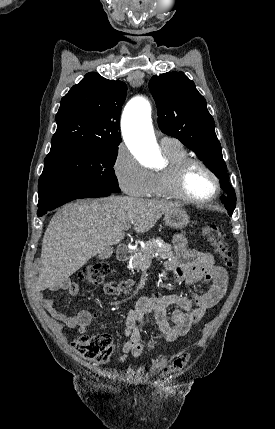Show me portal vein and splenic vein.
Masks as SVG:
<instances>
[{"label":"portal vein and splenic vein","instance_id":"18ae733b","mask_svg":"<svg viewBox=\"0 0 275 429\" xmlns=\"http://www.w3.org/2000/svg\"><path fill=\"white\" fill-rule=\"evenodd\" d=\"M131 228V226H126L125 228H124V230H129Z\"/></svg>","mask_w":275,"mask_h":429}]
</instances>
